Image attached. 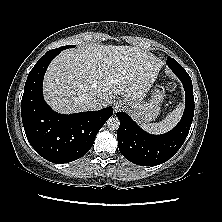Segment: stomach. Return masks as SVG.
Returning a JSON list of instances; mask_svg holds the SVG:
<instances>
[{
	"instance_id": "1",
	"label": "stomach",
	"mask_w": 222,
	"mask_h": 222,
	"mask_svg": "<svg viewBox=\"0 0 222 222\" xmlns=\"http://www.w3.org/2000/svg\"><path fill=\"white\" fill-rule=\"evenodd\" d=\"M126 101L130 115L140 124L147 123L155 120L159 115L163 94L159 88L154 87L148 102L143 99H128Z\"/></svg>"
}]
</instances>
